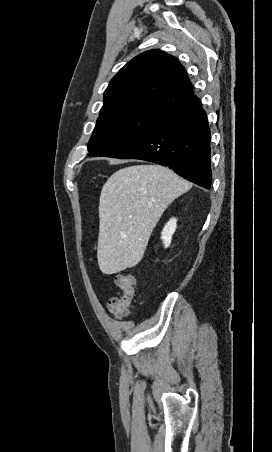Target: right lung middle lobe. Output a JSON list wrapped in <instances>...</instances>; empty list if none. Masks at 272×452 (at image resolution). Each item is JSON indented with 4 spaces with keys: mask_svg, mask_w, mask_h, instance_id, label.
Segmentation results:
<instances>
[{
    "mask_svg": "<svg viewBox=\"0 0 272 452\" xmlns=\"http://www.w3.org/2000/svg\"><path fill=\"white\" fill-rule=\"evenodd\" d=\"M160 115L136 110L98 118L88 144L89 156L116 158L134 144Z\"/></svg>",
    "mask_w": 272,
    "mask_h": 452,
    "instance_id": "1",
    "label": "right lung middle lobe"
}]
</instances>
